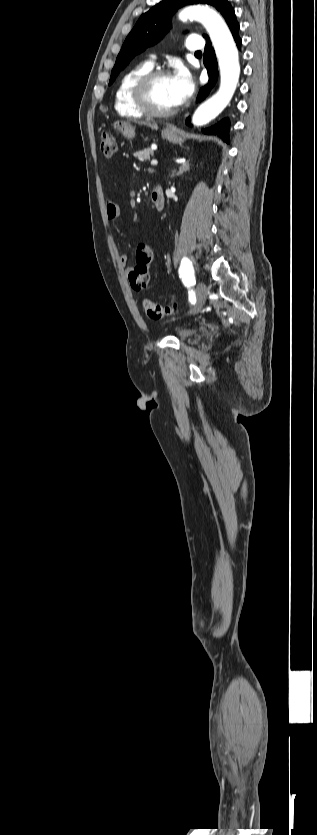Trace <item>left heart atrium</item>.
<instances>
[{"label": "left heart atrium", "mask_w": 317, "mask_h": 835, "mask_svg": "<svg viewBox=\"0 0 317 835\" xmlns=\"http://www.w3.org/2000/svg\"><path fill=\"white\" fill-rule=\"evenodd\" d=\"M171 87L176 105L185 102L194 91V83L187 69L181 67L171 77Z\"/></svg>", "instance_id": "39dd6f15"}]
</instances>
